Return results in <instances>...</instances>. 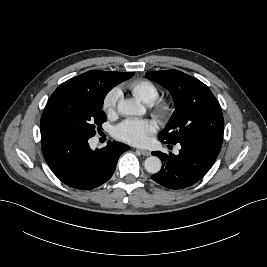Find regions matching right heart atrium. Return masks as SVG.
<instances>
[{
  "label": "right heart atrium",
  "instance_id": "obj_1",
  "mask_svg": "<svg viewBox=\"0 0 267 267\" xmlns=\"http://www.w3.org/2000/svg\"><path fill=\"white\" fill-rule=\"evenodd\" d=\"M119 98L120 90L118 88H112L104 96L102 101V109L108 116L115 113Z\"/></svg>",
  "mask_w": 267,
  "mask_h": 267
}]
</instances>
